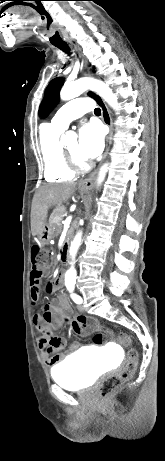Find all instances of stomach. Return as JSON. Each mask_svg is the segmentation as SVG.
Wrapping results in <instances>:
<instances>
[{
    "instance_id": "stomach-1",
    "label": "stomach",
    "mask_w": 165,
    "mask_h": 461,
    "mask_svg": "<svg viewBox=\"0 0 165 461\" xmlns=\"http://www.w3.org/2000/svg\"><path fill=\"white\" fill-rule=\"evenodd\" d=\"M54 236V230L49 223L44 222L42 230L38 234L39 242L42 245H47Z\"/></svg>"
}]
</instances>
